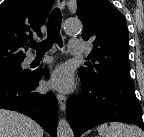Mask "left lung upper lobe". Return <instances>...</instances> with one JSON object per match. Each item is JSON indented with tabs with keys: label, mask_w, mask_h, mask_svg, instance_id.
Returning a JSON list of instances; mask_svg holds the SVG:
<instances>
[{
	"label": "left lung upper lobe",
	"mask_w": 144,
	"mask_h": 137,
	"mask_svg": "<svg viewBox=\"0 0 144 137\" xmlns=\"http://www.w3.org/2000/svg\"><path fill=\"white\" fill-rule=\"evenodd\" d=\"M77 15L83 23L82 38L93 41L92 63L81 67V81L97 84L112 80L134 85L129 74V34L123 14L108 0H78Z\"/></svg>",
	"instance_id": "5c2ea615"
}]
</instances>
